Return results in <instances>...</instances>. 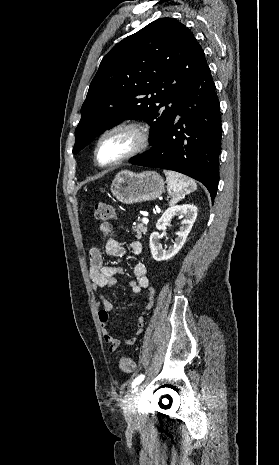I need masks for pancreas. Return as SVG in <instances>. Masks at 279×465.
Segmentation results:
<instances>
[{"instance_id":"obj_1","label":"pancreas","mask_w":279,"mask_h":465,"mask_svg":"<svg viewBox=\"0 0 279 465\" xmlns=\"http://www.w3.org/2000/svg\"><path fill=\"white\" fill-rule=\"evenodd\" d=\"M133 231L136 232V237L138 239L142 238V234H146L147 232V227L141 223V224H138L137 226L133 227Z\"/></svg>"}]
</instances>
